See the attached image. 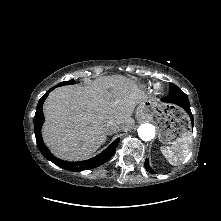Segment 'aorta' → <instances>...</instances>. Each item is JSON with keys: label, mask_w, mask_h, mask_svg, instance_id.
<instances>
[{"label": "aorta", "mask_w": 221, "mask_h": 221, "mask_svg": "<svg viewBox=\"0 0 221 221\" xmlns=\"http://www.w3.org/2000/svg\"><path fill=\"white\" fill-rule=\"evenodd\" d=\"M138 135L144 141H150L155 136V127L152 124L145 123L138 128Z\"/></svg>", "instance_id": "762f6f07"}]
</instances>
